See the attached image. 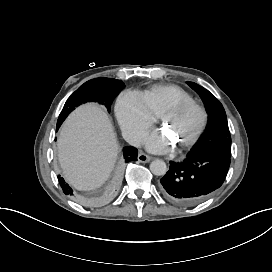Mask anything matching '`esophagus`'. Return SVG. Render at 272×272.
<instances>
[{"mask_svg":"<svg viewBox=\"0 0 272 272\" xmlns=\"http://www.w3.org/2000/svg\"><path fill=\"white\" fill-rule=\"evenodd\" d=\"M150 160H152V157H150L149 155L140 152L138 155V161L141 163H148Z\"/></svg>","mask_w":272,"mask_h":272,"instance_id":"1","label":"esophagus"}]
</instances>
